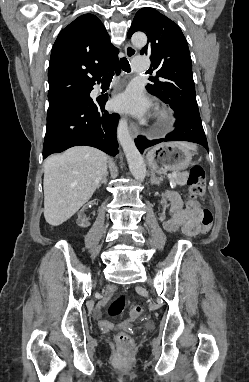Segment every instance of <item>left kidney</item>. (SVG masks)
<instances>
[{
    "label": "left kidney",
    "instance_id": "obj_1",
    "mask_svg": "<svg viewBox=\"0 0 249 382\" xmlns=\"http://www.w3.org/2000/svg\"><path fill=\"white\" fill-rule=\"evenodd\" d=\"M154 205L156 208H166L167 204L166 201H156Z\"/></svg>",
    "mask_w": 249,
    "mask_h": 382
}]
</instances>
